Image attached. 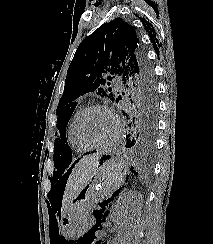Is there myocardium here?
<instances>
[{
  "instance_id": "f54148a6",
  "label": "myocardium",
  "mask_w": 213,
  "mask_h": 244,
  "mask_svg": "<svg viewBox=\"0 0 213 244\" xmlns=\"http://www.w3.org/2000/svg\"><path fill=\"white\" fill-rule=\"evenodd\" d=\"M104 110L106 111L113 119L114 123H115V131L114 134L112 135V137L104 142H91L88 139H86V137L84 136L83 132H82V124L83 121L86 117V115L92 111V110ZM121 132V122L119 120V118L117 117V115L115 114V112L106 104H102V103H95V104H90L87 107H85L82 112L80 113L76 124H75V133L77 138L79 139V141L81 143H83L85 146L89 147V148H105V147H109L110 145H112L114 142H116V140L118 139L119 135Z\"/></svg>"
}]
</instances>
